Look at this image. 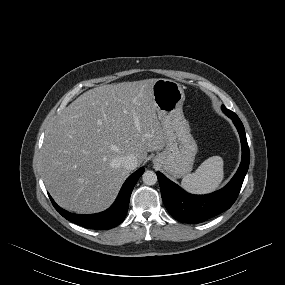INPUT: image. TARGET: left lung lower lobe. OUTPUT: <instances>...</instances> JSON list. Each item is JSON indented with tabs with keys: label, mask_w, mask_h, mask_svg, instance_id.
Here are the masks:
<instances>
[{
	"label": "left lung lower lobe",
	"mask_w": 285,
	"mask_h": 285,
	"mask_svg": "<svg viewBox=\"0 0 285 285\" xmlns=\"http://www.w3.org/2000/svg\"><path fill=\"white\" fill-rule=\"evenodd\" d=\"M235 124L242 144V161L231 181L221 190L207 195H191L157 172L161 196L168 212L184 223H201L229 209L238 197L250 162L244 126L236 114H226Z\"/></svg>",
	"instance_id": "0a47b994"
}]
</instances>
